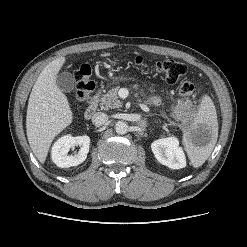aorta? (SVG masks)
I'll return each instance as SVG.
<instances>
[{
	"label": "aorta",
	"mask_w": 247,
	"mask_h": 247,
	"mask_svg": "<svg viewBox=\"0 0 247 247\" xmlns=\"http://www.w3.org/2000/svg\"><path fill=\"white\" fill-rule=\"evenodd\" d=\"M115 131L117 134L124 135L128 132V125L124 121H118L115 124Z\"/></svg>",
	"instance_id": "aorta-1"
}]
</instances>
